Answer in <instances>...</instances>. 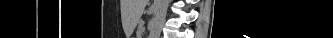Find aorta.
<instances>
[{
	"instance_id": "aorta-1",
	"label": "aorta",
	"mask_w": 333,
	"mask_h": 38,
	"mask_svg": "<svg viewBox=\"0 0 333 38\" xmlns=\"http://www.w3.org/2000/svg\"><path fill=\"white\" fill-rule=\"evenodd\" d=\"M169 0H155L154 2V17L153 23L150 29L149 38H159L162 27L167 14Z\"/></svg>"
}]
</instances>
